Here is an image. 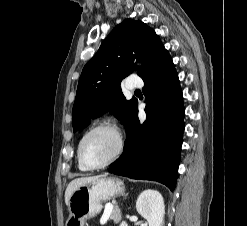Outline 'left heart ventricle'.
<instances>
[{
    "label": "left heart ventricle",
    "mask_w": 247,
    "mask_h": 226,
    "mask_svg": "<svg viewBox=\"0 0 247 226\" xmlns=\"http://www.w3.org/2000/svg\"><path fill=\"white\" fill-rule=\"evenodd\" d=\"M117 139L109 130H98L90 134L83 143L82 154L88 165H99L115 152Z\"/></svg>",
    "instance_id": "left-heart-ventricle-1"
}]
</instances>
